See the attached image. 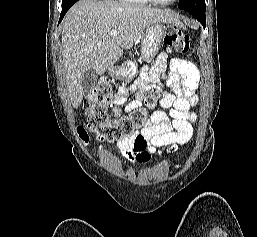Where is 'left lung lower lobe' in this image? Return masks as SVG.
<instances>
[{
  "mask_svg": "<svg viewBox=\"0 0 257 237\" xmlns=\"http://www.w3.org/2000/svg\"><path fill=\"white\" fill-rule=\"evenodd\" d=\"M191 15H193L204 27L206 26V19H205V11H197V10H186Z\"/></svg>",
  "mask_w": 257,
  "mask_h": 237,
  "instance_id": "0a47b994",
  "label": "left lung lower lobe"
}]
</instances>
